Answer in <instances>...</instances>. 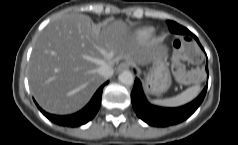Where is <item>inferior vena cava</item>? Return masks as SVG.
I'll list each match as a JSON object with an SVG mask.
<instances>
[{
	"mask_svg": "<svg viewBox=\"0 0 238 145\" xmlns=\"http://www.w3.org/2000/svg\"><path fill=\"white\" fill-rule=\"evenodd\" d=\"M113 73H114L113 68L110 65L106 64L98 68V74L106 79L111 77Z\"/></svg>",
	"mask_w": 238,
	"mask_h": 145,
	"instance_id": "1",
	"label": "inferior vena cava"
}]
</instances>
